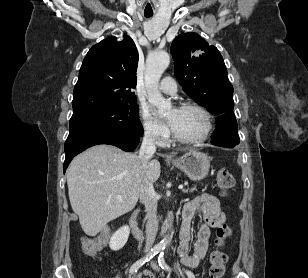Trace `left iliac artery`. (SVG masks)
<instances>
[{"mask_svg": "<svg viewBox=\"0 0 308 278\" xmlns=\"http://www.w3.org/2000/svg\"><path fill=\"white\" fill-rule=\"evenodd\" d=\"M158 263L159 266L164 269V270H170V267L166 264L165 260H164V253L161 252L158 258ZM185 273L187 274L188 278H195L194 274L190 271H185Z\"/></svg>", "mask_w": 308, "mask_h": 278, "instance_id": "left-iliac-artery-1", "label": "left iliac artery"}]
</instances>
